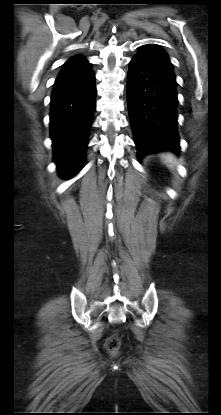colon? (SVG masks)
<instances>
[{
	"label": "colon",
	"instance_id": "1",
	"mask_svg": "<svg viewBox=\"0 0 221 415\" xmlns=\"http://www.w3.org/2000/svg\"><path fill=\"white\" fill-rule=\"evenodd\" d=\"M105 346H106L108 351L114 352L118 349L119 342L116 338L110 337L106 340Z\"/></svg>",
	"mask_w": 221,
	"mask_h": 415
}]
</instances>
